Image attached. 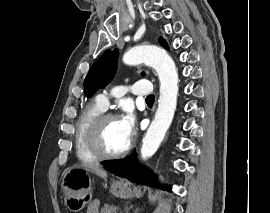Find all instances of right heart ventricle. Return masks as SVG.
Returning <instances> with one entry per match:
<instances>
[{
	"instance_id": "1",
	"label": "right heart ventricle",
	"mask_w": 270,
	"mask_h": 213,
	"mask_svg": "<svg viewBox=\"0 0 270 213\" xmlns=\"http://www.w3.org/2000/svg\"><path fill=\"white\" fill-rule=\"evenodd\" d=\"M103 111L104 109L95 101L85 108L77 120L75 131V151L81 162L95 163L99 160L88 149L86 135L93 119Z\"/></svg>"
}]
</instances>
